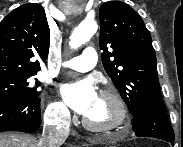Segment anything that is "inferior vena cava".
<instances>
[{
  "label": "inferior vena cava",
  "instance_id": "1",
  "mask_svg": "<svg viewBox=\"0 0 183 147\" xmlns=\"http://www.w3.org/2000/svg\"><path fill=\"white\" fill-rule=\"evenodd\" d=\"M69 123V120L63 123L60 120H57V122H48L43 128L38 147H60L68 137Z\"/></svg>",
  "mask_w": 183,
  "mask_h": 147
}]
</instances>
